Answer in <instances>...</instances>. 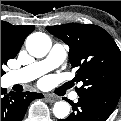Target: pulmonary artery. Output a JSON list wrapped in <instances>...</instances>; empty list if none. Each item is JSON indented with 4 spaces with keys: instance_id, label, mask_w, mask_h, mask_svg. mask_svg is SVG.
Returning <instances> with one entry per match:
<instances>
[{
    "instance_id": "pulmonary-artery-1",
    "label": "pulmonary artery",
    "mask_w": 121,
    "mask_h": 121,
    "mask_svg": "<svg viewBox=\"0 0 121 121\" xmlns=\"http://www.w3.org/2000/svg\"><path fill=\"white\" fill-rule=\"evenodd\" d=\"M67 57L66 47L61 43H55L49 54L42 60L29 64L19 70L7 74L9 85L30 82L49 71L58 68ZM72 99L77 98V94L71 95Z\"/></svg>"
}]
</instances>
